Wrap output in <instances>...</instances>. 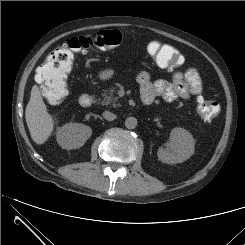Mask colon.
<instances>
[{
    "label": "colon",
    "mask_w": 245,
    "mask_h": 245,
    "mask_svg": "<svg viewBox=\"0 0 245 245\" xmlns=\"http://www.w3.org/2000/svg\"><path fill=\"white\" fill-rule=\"evenodd\" d=\"M122 42L118 30H101L90 36L74 37L60 48L55 49L46 59L38 72L42 91L50 103H59L68 95L67 76L70 72L73 54L90 48L107 50L117 47ZM147 50L161 67L177 68L183 65V57L170 45L150 42ZM198 114L207 122L212 121L219 112L216 101L197 98Z\"/></svg>",
    "instance_id": "5ec220e1"
}]
</instances>
